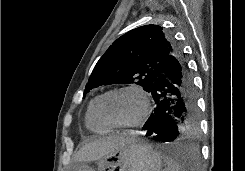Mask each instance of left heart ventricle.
<instances>
[{"mask_svg": "<svg viewBox=\"0 0 245 171\" xmlns=\"http://www.w3.org/2000/svg\"><path fill=\"white\" fill-rule=\"evenodd\" d=\"M142 110V101L133 91L116 92L104 100L105 116L114 123H128L135 120Z\"/></svg>", "mask_w": 245, "mask_h": 171, "instance_id": "1", "label": "left heart ventricle"}]
</instances>
